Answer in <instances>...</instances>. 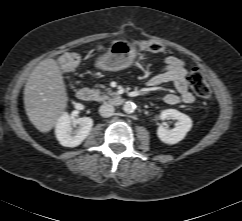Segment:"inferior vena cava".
I'll use <instances>...</instances> for the list:
<instances>
[{"label": "inferior vena cava", "instance_id": "obj_1", "mask_svg": "<svg viewBox=\"0 0 242 221\" xmlns=\"http://www.w3.org/2000/svg\"><path fill=\"white\" fill-rule=\"evenodd\" d=\"M115 108L109 103L100 106L99 113L102 117H110L114 114Z\"/></svg>", "mask_w": 242, "mask_h": 221}]
</instances>
